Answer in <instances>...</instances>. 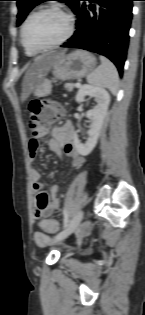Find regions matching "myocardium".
<instances>
[{
	"instance_id": "obj_1",
	"label": "myocardium",
	"mask_w": 145,
	"mask_h": 315,
	"mask_svg": "<svg viewBox=\"0 0 145 315\" xmlns=\"http://www.w3.org/2000/svg\"><path fill=\"white\" fill-rule=\"evenodd\" d=\"M45 12H53L56 13L58 15H60L66 22V31L64 33V35L58 39L57 41L46 45V46H33L30 45L27 40H26V28L27 25L29 23V21L41 14V13H45ZM74 32V18L72 16L71 13H69L68 11L61 9L57 6H46V7H42L34 12H32L24 21L22 28H21V40H22V44L24 45V47H26L27 49L31 50V51H35V52H43V51H48L51 50L53 48H56L62 44H64L73 34Z\"/></svg>"
}]
</instances>
